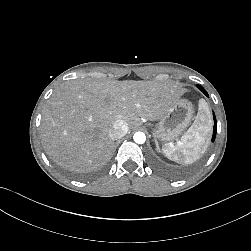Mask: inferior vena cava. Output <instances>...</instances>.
Here are the masks:
<instances>
[{"mask_svg": "<svg viewBox=\"0 0 251 251\" xmlns=\"http://www.w3.org/2000/svg\"><path fill=\"white\" fill-rule=\"evenodd\" d=\"M124 131V127L121 125V123L116 122L114 123L112 129L109 131L111 136H118Z\"/></svg>", "mask_w": 251, "mask_h": 251, "instance_id": "602c4592", "label": "inferior vena cava"}]
</instances>
